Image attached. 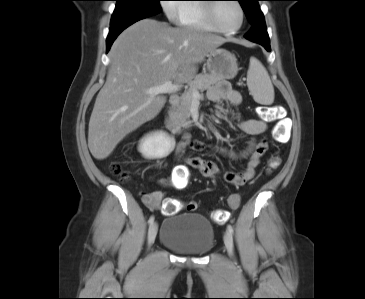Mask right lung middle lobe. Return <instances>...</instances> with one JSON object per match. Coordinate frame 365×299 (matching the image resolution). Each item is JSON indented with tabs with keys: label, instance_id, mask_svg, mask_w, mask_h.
Wrapping results in <instances>:
<instances>
[{
	"label": "right lung middle lobe",
	"instance_id": "right-lung-middle-lobe-1",
	"mask_svg": "<svg viewBox=\"0 0 365 299\" xmlns=\"http://www.w3.org/2000/svg\"><path fill=\"white\" fill-rule=\"evenodd\" d=\"M117 5L111 21L129 16L155 15L162 11L161 0H115Z\"/></svg>",
	"mask_w": 365,
	"mask_h": 299
}]
</instances>
